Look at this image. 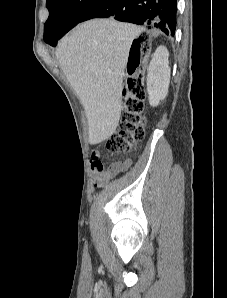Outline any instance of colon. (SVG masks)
I'll return each mask as SVG.
<instances>
[{
  "label": "colon",
  "instance_id": "colon-1",
  "mask_svg": "<svg viewBox=\"0 0 227 298\" xmlns=\"http://www.w3.org/2000/svg\"><path fill=\"white\" fill-rule=\"evenodd\" d=\"M149 50L150 42L147 36L143 35L134 41L128 62L129 76L123 86L121 123L119 129L106 142L107 150L111 153H130L144 138L146 90L143 74L140 72L134 75V73L140 65L141 56Z\"/></svg>",
  "mask_w": 227,
  "mask_h": 298
}]
</instances>
